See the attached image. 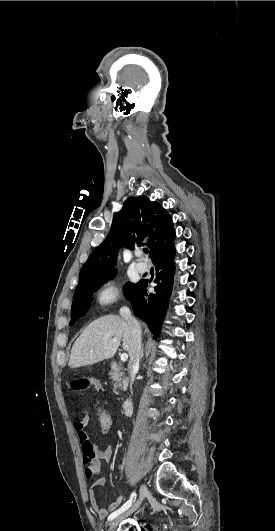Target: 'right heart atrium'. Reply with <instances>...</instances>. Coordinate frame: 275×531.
Listing matches in <instances>:
<instances>
[{"instance_id":"1","label":"right heart atrium","mask_w":275,"mask_h":531,"mask_svg":"<svg viewBox=\"0 0 275 531\" xmlns=\"http://www.w3.org/2000/svg\"><path fill=\"white\" fill-rule=\"evenodd\" d=\"M116 293H117L116 286L113 283L108 282L104 284L99 290V293H98L99 301L104 304L109 303L115 299Z\"/></svg>"}]
</instances>
